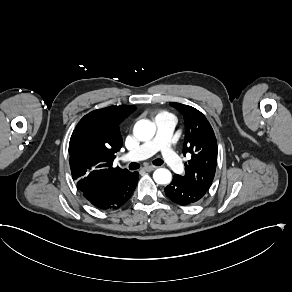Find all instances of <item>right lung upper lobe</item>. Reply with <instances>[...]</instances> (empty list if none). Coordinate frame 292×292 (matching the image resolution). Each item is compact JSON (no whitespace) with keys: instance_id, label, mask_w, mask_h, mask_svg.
Segmentation results:
<instances>
[{"instance_id":"1","label":"right lung upper lobe","mask_w":292,"mask_h":292,"mask_svg":"<svg viewBox=\"0 0 292 292\" xmlns=\"http://www.w3.org/2000/svg\"><path fill=\"white\" fill-rule=\"evenodd\" d=\"M135 110V106L97 109L77 124L69 142V163L82 193L98 192L129 173L113 167V160L123 144L119 124Z\"/></svg>"}]
</instances>
